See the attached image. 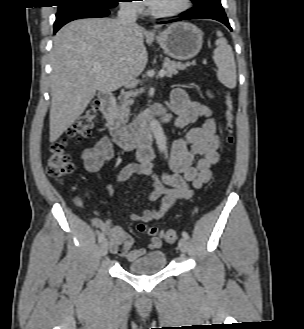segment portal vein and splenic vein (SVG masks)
I'll return each instance as SVG.
<instances>
[{"mask_svg": "<svg viewBox=\"0 0 304 329\" xmlns=\"http://www.w3.org/2000/svg\"><path fill=\"white\" fill-rule=\"evenodd\" d=\"M93 67V70L98 72L101 70L102 65L100 63L94 62L90 64ZM166 71L164 69L160 70L159 72V76L163 77L165 75Z\"/></svg>", "mask_w": 304, "mask_h": 329, "instance_id": "portal-vein-and-splenic-vein-1", "label": "portal vein and splenic vein"}]
</instances>
